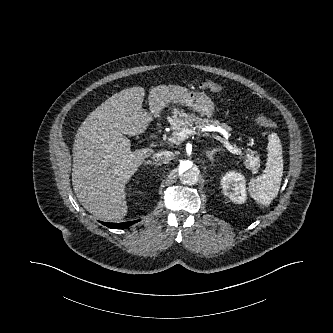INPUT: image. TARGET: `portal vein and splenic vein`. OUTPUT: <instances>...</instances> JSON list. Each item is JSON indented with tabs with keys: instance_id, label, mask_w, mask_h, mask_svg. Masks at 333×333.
Wrapping results in <instances>:
<instances>
[{
	"instance_id": "18ae733b",
	"label": "portal vein and splenic vein",
	"mask_w": 333,
	"mask_h": 333,
	"mask_svg": "<svg viewBox=\"0 0 333 333\" xmlns=\"http://www.w3.org/2000/svg\"><path fill=\"white\" fill-rule=\"evenodd\" d=\"M192 133L195 134L196 132L192 131L190 129H183L181 132L176 134L177 137H173L171 140H172V142L177 143V140L184 139ZM222 142L224 143V145L228 149V151H230L231 153L237 154V155L242 154L241 149L237 148L236 146L231 145L228 141H222Z\"/></svg>"
}]
</instances>
